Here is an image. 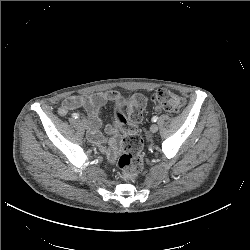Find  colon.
I'll list each match as a JSON object with an SVG mask.
<instances>
[{"instance_id":"1","label":"colon","mask_w":250,"mask_h":250,"mask_svg":"<svg viewBox=\"0 0 250 250\" xmlns=\"http://www.w3.org/2000/svg\"><path fill=\"white\" fill-rule=\"evenodd\" d=\"M152 101L158 108L176 113L184 105V99L178 94L168 90L159 89L152 95ZM145 98L141 94H135L125 102L127 116L116 104L114 119L119 124L122 132L120 147L122 154L118 160L120 176L125 181L135 180L143 168V141L139 135L136 124L142 119V111L145 106Z\"/></svg>"}]
</instances>
